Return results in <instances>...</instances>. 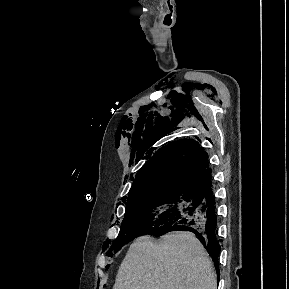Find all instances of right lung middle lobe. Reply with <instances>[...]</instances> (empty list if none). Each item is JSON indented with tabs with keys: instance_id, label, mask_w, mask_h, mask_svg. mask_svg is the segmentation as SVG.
Wrapping results in <instances>:
<instances>
[{
	"instance_id": "right-lung-middle-lobe-1",
	"label": "right lung middle lobe",
	"mask_w": 289,
	"mask_h": 289,
	"mask_svg": "<svg viewBox=\"0 0 289 289\" xmlns=\"http://www.w3.org/2000/svg\"><path fill=\"white\" fill-rule=\"evenodd\" d=\"M196 195L162 193L129 199L118 237L107 255L119 251L125 243L142 234H153L169 228L192 211Z\"/></svg>"
}]
</instances>
